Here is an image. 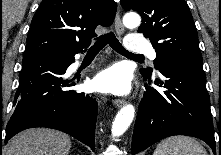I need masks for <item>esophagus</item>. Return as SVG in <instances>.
<instances>
[{
	"mask_svg": "<svg viewBox=\"0 0 221 155\" xmlns=\"http://www.w3.org/2000/svg\"><path fill=\"white\" fill-rule=\"evenodd\" d=\"M114 25H115V30H116L117 34H118L119 36H121V35L124 33L125 28H124V26H123V24H122L119 10H118L117 13H116ZM124 103H125V100H123V99H115V100L113 101V104H114L116 107H121V106L124 105Z\"/></svg>",
	"mask_w": 221,
	"mask_h": 155,
	"instance_id": "esophagus-1",
	"label": "esophagus"
}]
</instances>
